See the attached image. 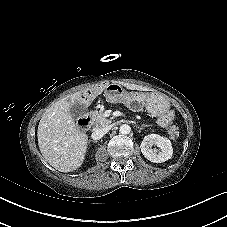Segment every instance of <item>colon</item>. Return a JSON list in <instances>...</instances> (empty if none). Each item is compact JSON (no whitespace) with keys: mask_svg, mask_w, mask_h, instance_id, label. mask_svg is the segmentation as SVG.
<instances>
[{"mask_svg":"<svg viewBox=\"0 0 227 227\" xmlns=\"http://www.w3.org/2000/svg\"><path fill=\"white\" fill-rule=\"evenodd\" d=\"M98 98V96L97 95H95L94 97H93V100H96Z\"/></svg>","mask_w":227,"mask_h":227,"instance_id":"1","label":"colon"}]
</instances>
